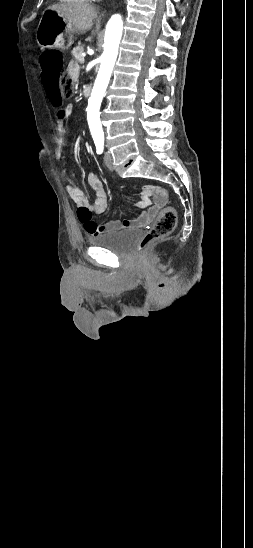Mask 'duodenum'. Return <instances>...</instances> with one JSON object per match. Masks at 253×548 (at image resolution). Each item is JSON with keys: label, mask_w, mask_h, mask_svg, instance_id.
Instances as JSON below:
<instances>
[{"label": "duodenum", "mask_w": 253, "mask_h": 548, "mask_svg": "<svg viewBox=\"0 0 253 548\" xmlns=\"http://www.w3.org/2000/svg\"><path fill=\"white\" fill-rule=\"evenodd\" d=\"M83 93L86 97L90 96L91 95V87L90 86H86L83 90Z\"/></svg>", "instance_id": "obj_1"}]
</instances>
